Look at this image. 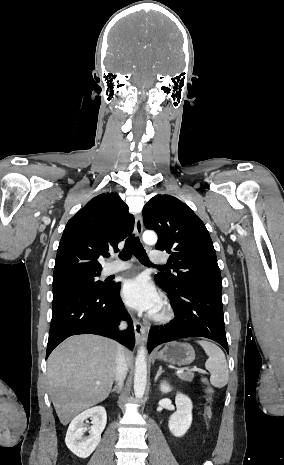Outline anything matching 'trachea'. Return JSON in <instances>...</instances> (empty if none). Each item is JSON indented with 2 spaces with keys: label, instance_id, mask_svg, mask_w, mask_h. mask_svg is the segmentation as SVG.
Returning a JSON list of instances; mask_svg holds the SVG:
<instances>
[{
  "label": "trachea",
  "instance_id": "obj_1",
  "mask_svg": "<svg viewBox=\"0 0 284 465\" xmlns=\"http://www.w3.org/2000/svg\"><path fill=\"white\" fill-rule=\"evenodd\" d=\"M133 254L140 262L144 263L145 265H151L139 238L135 237V235H130V237H128L126 240L125 246L122 252H120L119 257L122 260H129ZM158 268L161 270L169 271L170 267L167 265H159Z\"/></svg>",
  "mask_w": 284,
  "mask_h": 465
}]
</instances>
